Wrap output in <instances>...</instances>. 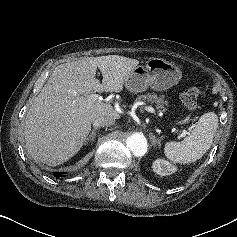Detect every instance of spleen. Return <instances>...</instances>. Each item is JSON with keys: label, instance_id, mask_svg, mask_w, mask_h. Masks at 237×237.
Segmentation results:
<instances>
[{"label": "spleen", "instance_id": "3e777b00", "mask_svg": "<svg viewBox=\"0 0 237 237\" xmlns=\"http://www.w3.org/2000/svg\"><path fill=\"white\" fill-rule=\"evenodd\" d=\"M217 128V115L214 112L203 114L191 134L183 141L166 143L164 148L166 157L179 164H188L199 160L210 148Z\"/></svg>", "mask_w": 237, "mask_h": 237}]
</instances>
